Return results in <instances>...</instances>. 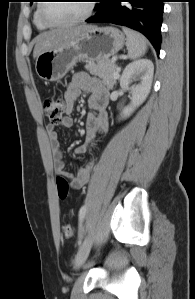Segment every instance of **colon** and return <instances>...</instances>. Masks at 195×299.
<instances>
[{"mask_svg": "<svg viewBox=\"0 0 195 299\" xmlns=\"http://www.w3.org/2000/svg\"><path fill=\"white\" fill-rule=\"evenodd\" d=\"M43 113L53 123L59 124L62 121L65 111V102L61 98L47 97L42 104ZM57 192L60 199L65 200L69 194V183L63 177L56 180ZM65 237H72L75 233V227L71 223H66L62 227Z\"/></svg>", "mask_w": 195, "mask_h": 299, "instance_id": "colon-1", "label": "colon"}]
</instances>
